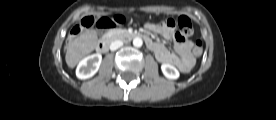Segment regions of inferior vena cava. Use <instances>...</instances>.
<instances>
[{
    "instance_id": "602c4592",
    "label": "inferior vena cava",
    "mask_w": 276,
    "mask_h": 120,
    "mask_svg": "<svg viewBox=\"0 0 276 120\" xmlns=\"http://www.w3.org/2000/svg\"><path fill=\"white\" fill-rule=\"evenodd\" d=\"M123 45V42L120 40H116L110 44V50L115 51Z\"/></svg>"
}]
</instances>
